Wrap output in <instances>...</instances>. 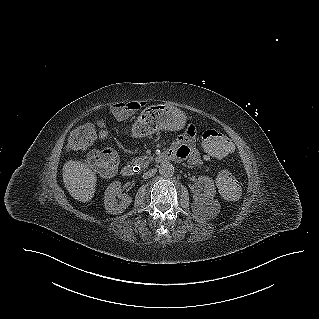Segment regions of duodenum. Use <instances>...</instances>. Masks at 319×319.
I'll return each mask as SVG.
<instances>
[{"instance_id":"duodenum-1","label":"duodenum","mask_w":319,"mask_h":319,"mask_svg":"<svg viewBox=\"0 0 319 319\" xmlns=\"http://www.w3.org/2000/svg\"><path fill=\"white\" fill-rule=\"evenodd\" d=\"M174 158H175V155L172 153V151L168 150L155 155L153 158V163L160 164L167 161H171ZM134 172H135V167L131 164H125L121 169V174L125 177H131L134 174Z\"/></svg>"}]
</instances>
